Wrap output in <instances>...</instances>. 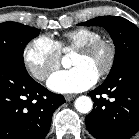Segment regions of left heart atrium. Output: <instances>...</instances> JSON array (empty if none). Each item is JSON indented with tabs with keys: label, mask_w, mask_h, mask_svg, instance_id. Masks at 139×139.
Wrapping results in <instances>:
<instances>
[{
	"label": "left heart atrium",
	"mask_w": 139,
	"mask_h": 139,
	"mask_svg": "<svg viewBox=\"0 0 139 139\" xmlns=\"http://www.w3.org/2000/svg\"><path fill=\"white\" fill-rule=\"evenodd\" d=\"M98 74L88 67L75 66L69 70H62L52 74L48 80V87L58 93H74L84 91L93 86Z\"/></svg>",
	"instance_id": "obj_1"
}]
</instances>
